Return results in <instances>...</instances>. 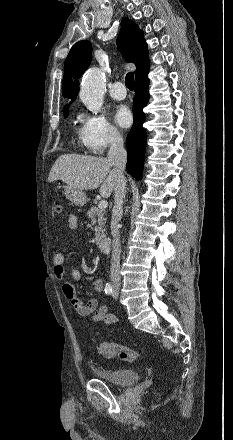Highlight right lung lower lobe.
<instances>
[{
    "label": "right lung lower lobe",
    "mask_w": 233,
    "mask_h": 440,
    "mask_svg": "<svg viewBox=\"0 0 233 440\" xmlns=\"http://www.w3.org/2000/svg\"><path fill=\"white\" fill-rule=\"evenodd\" d=\"M145 75L135 80V97L133 101L134 124L127 135L126 147L128 152V160L126 169L137 180L142 178V169L144 162L146 132L142 127L145 121V113L143 108L149 100L148 86L149 79Z\"/></svg>",
    "instance_id": "98d812e1"
}]
</instances>
